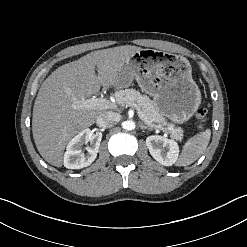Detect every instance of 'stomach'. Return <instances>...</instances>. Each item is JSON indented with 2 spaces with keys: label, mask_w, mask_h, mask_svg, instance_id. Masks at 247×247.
<instances>
[{
  "label": "stomach",
  "mask_w": 247,
  "mask_h": 247,
  "mask_svg": "<svg viewBox=\"0 0 247 247\" xmlns=\"http://www.w3.org/2000/svg\"><path fill=\"white\" fill-rule=\"evenodd\" d=\"M134 79L145 93L153 97L159 113L173 124L187 122L201 103L200 90L185 58L142 49L118 71L115 87H129Z\"/></svg>",
  "instance_id": "stomach-1"
}]
</instances>
